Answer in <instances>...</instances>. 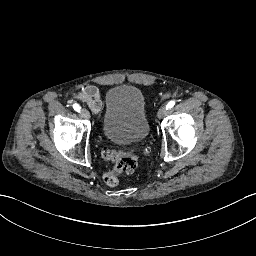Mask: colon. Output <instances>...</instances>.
I'll return each instance as SVG.
<instances>
[{
    "label": "colon",
    "mask_w": 256,
    "mask_h": 256,
    "mask_svg": "<svg viewBox=\"0 0 256 256\" xmlns=\"http://www.w3.org/2000/svg\"><path fill=\"white\" fill-rule=\"evenodd\" d=\"M170 95V92L164 93L161 99H169ZM101 154L103 156L112 158L114 162H116L119 157H123V153H116L110 150H102ZM127 158L128 159L123 160V162H121L118 167L113 168L112 170L108 171L103 175V181L105 184L110 187L118 186L120 182V177L124 174L131 173L136 168L137 162L134 161L133 157L128 156Z\"/></svg>",
    "instance_id": "colon-1"
}]
</instances>
